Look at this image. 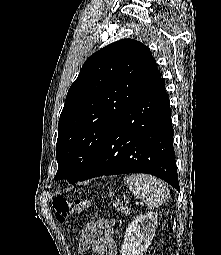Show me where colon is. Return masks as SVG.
Wrapping results in <instances>:
<instances>
[{
  "label": "colon",
  "instance_id": "colon-1",
  "mask_svg": "<svg viewBox=\"0 0 221 255\" xmlns=\"http://www.w3.org/2000/svg\"><path fill=\"white\" fill-rule=\"evenodd\" d=\"M89 205V200L85 198H80L69 202L65 198L57 196L53 200L55 216L59 222H65L70 215L81 213L87 209Z\"/></svg>",
  "mask_w": 221,
  "mask_h": 255
}]
</instances>
